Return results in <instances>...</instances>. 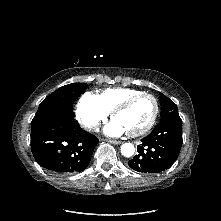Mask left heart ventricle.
Segmentation results:
<instances>
[{
    "label": "left heart ventricle",
    "instance_id": "b2bd125f",
    "mask_svg": "<svg viewBox=\"0 0 221 221\" xmlns=\"http://www.w3.org/2000/svg\"><path fill=\"white\" fill-rule=\"evenodd\" d=\"M154 112V102L149 97L137 100L127 110L120 112L115 120L119 121L127 132H136L148 124Z\"/></svg>",
    "mask_w": 221,
    "mask_h": 221
}]
</instances>
